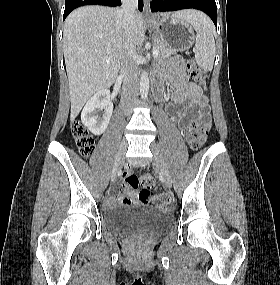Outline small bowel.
<instances>
[{"label":"small bowel","mask_w":280,"mask_h":285,"mask_svg":"<svg viewBox=\"0 0 280 285\" xmlns=\"http://www.w3.org/2000/svg\"><path fill=\"white\" fill-rule=\"evenodd\" d=\"M178 61L179 60H177V62ZM167 83L169 85L170 101L178 105L185 104L184 110L177 113V118L179 120L185 118L188 112L193 107H196L198 109L199 118L202 121H208V124L210 125L208 99L195 84L190 82L181 72H174L173 75L168 78ZM127 171L130 172L129 170ZM149 199V192H137L123 185V192L120 195L115 196L112 192L108 193L106 203L112 205L115 202L120 201L127 205L146 204L149 202Z\"/></svg>","instance_id":"c3829d8e"}]
</instances>
